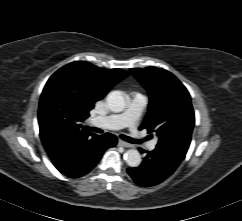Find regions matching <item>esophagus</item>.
Returning <instances> with one entry per match:
<instances>
[{
    "instance_id": "34e87169",
    "label": "esophagus",
    "mask_w": 242,
    "mask_h": 221,
    "mask_svg": "<svg viewBox=\"0 0 242 221\" xmlns=\"http://www.w3.org/2000/svg\"><path fill=\"white\" fill-rule=\"evenodd\" d=\"M118 143H119V145H121L123 147H132V145L130 143H127L121 139H119Z\"/></svg>"
}]
</instances>
